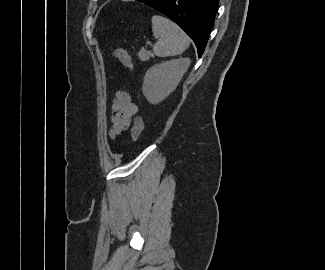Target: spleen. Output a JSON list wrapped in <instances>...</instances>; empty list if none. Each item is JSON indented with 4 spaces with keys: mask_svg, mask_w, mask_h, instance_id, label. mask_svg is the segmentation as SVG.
Instances as JSON below:
<instances>
[{
    "mask_svg": "<svg viewBox=\"0 0 325 270\" xmlns=\"http://www.w3.org/2000/svg\"><path fill=\"white\" fill-rule=\"evenodd\" d=\"M153 36L158 40L153 51L158 57H169L182 54L190 45L184 31L173 21L154 15L151 18Z\"/></svg>",
    "mask_w": 325,
    "mask_h": 270,
    "instance_id": "3e777b00",
    "label": "spleen"
}]
</instances>
